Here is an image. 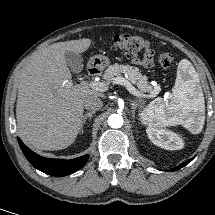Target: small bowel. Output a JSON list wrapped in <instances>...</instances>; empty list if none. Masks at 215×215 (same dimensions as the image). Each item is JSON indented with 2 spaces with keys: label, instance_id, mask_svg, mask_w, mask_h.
Instances as JSON below:
<instances>
[{
  "label": "small bowel",
  "instance_id": "1",
  "mask_svg": "<svg viewBox=\"0 0 215 215\" xmlns=\"http://www.w3.org/2000/svg\"><path fill=\"white\" fill-rule=\"evenodd\" d=\"M153 57H154L153 52L151 50H148L144 55L143 59L140 61H135V63L148 68L151 67L153 64Z\"/></svg>",
  "mask_w": 215,
  "mask_h": 215
}]
</instances>
